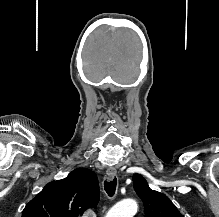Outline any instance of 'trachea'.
Wrapping results in <instances>:
<instances>
[{"instance_id":"3493384b","label":"trachea","mask_w":219,"mask_h":217,"mask_svg":"<svg viewBox=\"0 0 219 217\" xmlns=\"http://www.w3.org/2000/svg\"><path fill=\"white\" fill-rule=\"evenodd\" d=\"M116 185H117L116 178L112 179L111 181L104 182L105 191L110 197H112L115 194Z\"/></svg>"}]
</instances>
